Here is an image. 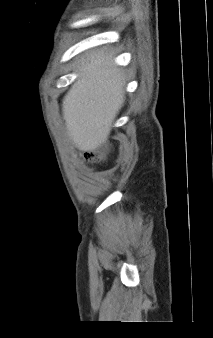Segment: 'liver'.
<instances>
[{
    "label": "liver",
    "instance_id": "obj_1",
    "mask_svg": "<svg viewBox=\"0 0 213 338\" xmlns=\"http://www.w3.org/2000/svg\"><path fill=\"white\" fill-rule=\"evenodd\" d=\"M111 58L104 51L91 53L79 69L83 75L63 99L68 135L81 151H94L107 142L125 101V81L121 71L108 64Z\"/></svg>",
    "mask_w": 213,
    "mask_h": 338
}]
</instances>
